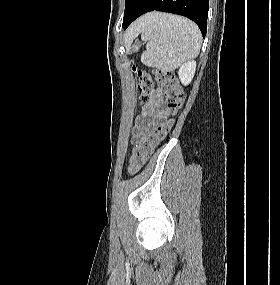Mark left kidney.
Masks as SVG:
<instances>
[{
	"label": "left kidney",
	"instance_id": "left-kidney-1",
	"mask_svg": "<svg viewBox=\"0 0 280 285\" xmlns=\"http://www.w3.org/2000/svg\"><path fill=\"white\" fill-rule=\"evenodd\" d=\"M196 70V62L190 60L185 62L178 71V76L183 85H188L191 83Z\"/></svg>",
	"mask_w": 280,
	"mask_h": 285
}]
</instances>
